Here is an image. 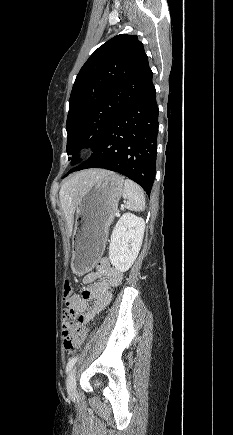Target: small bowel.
I'll return each mask as SVG.
<instances>
[{
    "mask_svg": "<svg viewBox=\"0 0 233 435\" xmlns=\"http://www.w3.org/2000/svg\"><path fill=\"white\" fill-rule=\"evenodd\" d=\"M122 273L113 267L108 259H101L95 271L84 278L85 287L81 294L66 298L67 311L64 312L63 328L70 324L69 320L80 317L75 324V342L82 344L89 332L87 322L101 312L111 301V289L120 285ZM73 327V326H72ZM72 329V328H71Z\"/></svg>",
    "mask_w": 233,
    "mask_h": 435,
    "instance_id": "obj_1",
    "label": "small bowel"
}]
</instances>
